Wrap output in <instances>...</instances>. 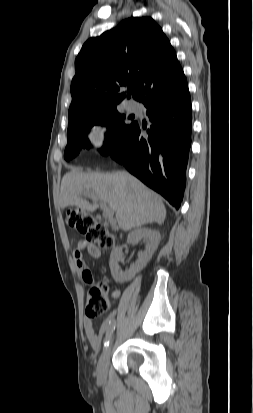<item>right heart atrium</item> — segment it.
Instances as JSON below:
<instances>
[{"instance_id": "obj_1", "label": "right heart atrium", "mask_w": 253, "mask_h": 413, "mask_svg": "<svg viewBox=\"0 0 253 413\" xmlns=\"http://www.w3.org/2000/svg\"><path fill=\"white\" fill-rule=\"evenodd\" d=\"M107 137V128L104 125H95L89 132V140L91 144L99 149L104 146Z\"/></svg>"}]
</instances>
